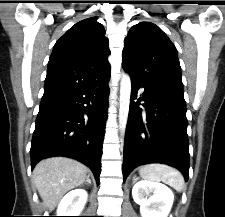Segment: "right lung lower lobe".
I'll return each mask as SVG.
<instances>
[{
	"label": "right lung lower lobe",
	"mask_w": 225,
	"mask_h": 217,
	"mask_svg": "<svg viewBox=\"0 0 225 217\" xmlns=\"http://www.w3.org/2000/svg\"><path fill=\"white\" fill-rule=\"evenodd\" d=\"M108 79L88 88L43 96L31 142V167L66 156L90 167L99 184L107 119Z\"/></svg>",
	"instance_id": "1"
}]
</instances>
